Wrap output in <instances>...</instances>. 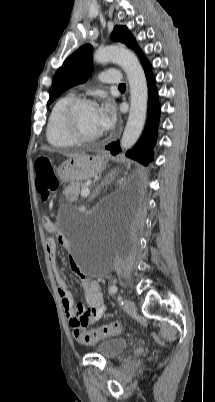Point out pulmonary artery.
<instances>
[{
  "label": "pulmonary artery",
  "instance_id": "obj_1",
  "mask_svg": "<svg viewBox=\"0 0 215 402\" xmlns=\"http://www.w3.org/2000/svg\"><path fill=\"white\" fill-rule=\"evenodd\" d=\"M100 79H101V81H103L105 83H111V84L121 83V76L115 70H107V71L102 72L100 74Z\"/></svg>",
  "mask_w": 215,
  "mask_h": 402
}]
</instances>
